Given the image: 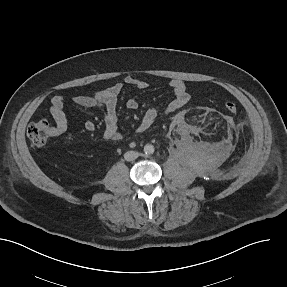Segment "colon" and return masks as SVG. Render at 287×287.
Segmentation results:
<instances>
[{
	"mask_svg": "<svg viewBox=\"0 0 287 287\" xmlns=\"http://www.w3.org/2000/svg\"><path fill=\"white\" fill-rule=\"evenodd\" d=\"M225 109L230 113H235L237 111V106L234 102H226ZM50 134V125L45 120H38L31 123L27 130L30 141L38 148H43L47 145Z\"/></svg>",
	"mask_w": 287,
	"mask_h": 287,
	"instance_id": "colon-1",
	"label": "colon"
}]
</instances>
